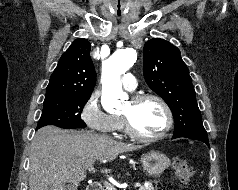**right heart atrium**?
Masks as SVG:
<instances>
[{
    "instance_id": "d8ad5b80",
    "label": "right heart atrium",
    "mask_w": 238,
    "mask_h": 190,
    "mask_svg": "<svg viewBox=\"0 0 238 190\" xmlns=\"http://www.w3.org/2000/svg\"><path fill=\"white\" fill-rule=\"evenodd\" d=\"M100 94L92 92L84 102L80 117L82 121L93 131L110 133L115 130L114 116L103 111L99 100Z\"/></svg>"
}]
</instances>
